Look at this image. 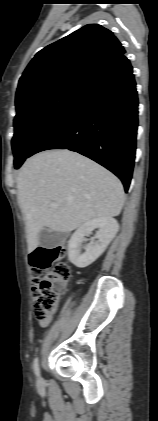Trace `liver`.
Segmentation results:
<instances>
[{"label": "liver", "mask_w": 158, "mask_h": 421, "mask_svg": "<svg viewBox=\"0 0 158 421\" xmlns=\"http://www.w3.org/2000/svg\"><path fill=\"white\" fill-rule=\"evenodd\" d=\"M18 202L26 221L28 250L39 233L71 232L85 222L120 214V180L92 160L69 150H48L30 157L17 177ZM52 203L59 206L53 208Z\"/></svg>", "instance_id": "liver-1"}]
</instances>
